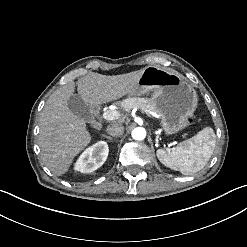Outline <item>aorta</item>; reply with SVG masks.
I'll return each instance as SVG.
<instances>
[{
    "label": "aorta",
    "mask_w": 247,
    "mask_h": 247,
    "mask_svg": "<svg viewBox=\"0 0 247 247\" xmlns=\"http://www.w3.org/2000/svg\"><path fill=\"white\" fill-rule=\"evenodd\" d=\"M146 137V130L143 127H136L132 130V138L138 141Z\"/></svg>",
    "instance_id": "obj_1"
}]
</instances>
